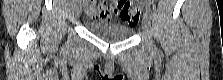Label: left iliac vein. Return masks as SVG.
Listing matches in <instances>:
<instances>
[{
  "label": "left iliac vein",
  "instance_id": "obj_1",
  "mask_svg": "<svg viewBox=\"0 0 223 80\" xmlns=\"http://www.w3.org/2000/svg\"><path fill=\"white\" fill-rule=\"evenodd\" d=\"M142 25H143V29L145 30V32L148 35H150L151 34V22H150L149 16L146 14L143 15Z\"/></svg>",
  "mask_w": 223,
  "mask_h": 80
}]
</instances>
